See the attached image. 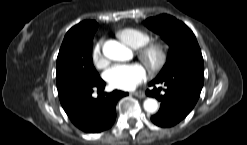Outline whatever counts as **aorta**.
<instances>
[{
  "instance_id": "762f6f07",
  "label": "aorta",
  "mask_w": 247,
  "mask_h": 145,
  "mask_svg": "<svg viewBox=\"0 0 247 145\" xmlns=\"http://www.w3.org/2000/svg\"><path fill=\"white\" fill-rule=\"evenodd\" d=\"M103 54L114 61H126L131 57L130 49L115 40H108L104 43ZM143 107L146 112L155 113L158 110V102L156 99L147 98Z\"/></svg>"
}]
</instances>
